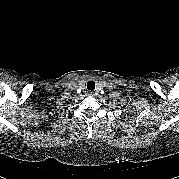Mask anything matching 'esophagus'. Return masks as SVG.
<instances>
[{
	"mask_svg": "<svg viewBox=\"0 0 179 179\" xmlns=\"http://www.w3.org/2000/svg\"><path fill=\"white\" fill-rule=\"evenodd\" d=\"M87 95H88V96H93L94 93H93L92 91H87Z\"/></svg>",
	"mask_w": 179,
	"mask_h": 179,
	"instance_id": "1",
	"label": "esophagus"
}]
</instances>
